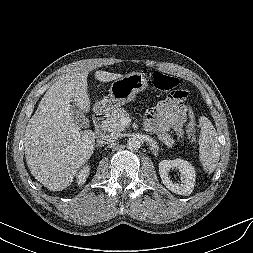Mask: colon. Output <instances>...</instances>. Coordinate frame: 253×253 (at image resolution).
Returning <instances> with one entry per match:
<instances>
[{
	"label": "colon",
	"mask_w": 253,
	"mask_h": 253,
	"mask_svg": "<svg viewBox=\"0 0 253 253\" xmlns=\"http://www.w3.org/2000/svg\"><path fill=\"white\" fill-rule=\"evenodd\" d=\"M153 85L155 88L161 91L170 92V97L176 98V99H185L187 96L186 91L179 88V80L178 78L164 74L160 71H156L153 73ZM188 129L192 130V124H188ZM191 137L193 138V134H191Z\"/></svg>",
	"instance_id": "obj_1"
}]
</instances>
